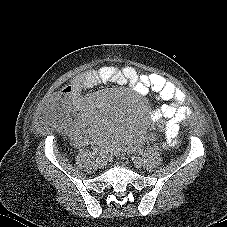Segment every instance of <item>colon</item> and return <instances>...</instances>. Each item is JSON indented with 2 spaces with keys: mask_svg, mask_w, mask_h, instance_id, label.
<instances>
[{
  "mask_svg": "<svg viewBox=\"0 0 227 227\" xmlns=\"http://www.w3.org/2000/svg\"><path fill=\"white\" fill-rule=\"evenodd\" d=\"M177 130L180 134L185 135L189 132L190 127L187 123L182 122L178 125Z\"/></svg>",
  "mask_w": 227,
  "mask_h": 227,
  "instance_id": "obj_1",
  "label": "colon"
}]
</instances>
